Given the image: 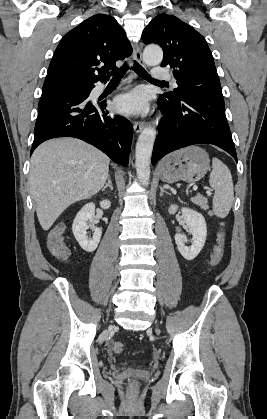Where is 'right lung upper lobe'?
<instances>
[{"mask_svg": "<svg viewBox=\"0 0 267 419\" xmlns=\"http://www.w3.org/2000/svg\"><path fill=\"white\" fill-rule=\"evenodd\" d=\"M125 31L110 15L96 14L69 31L57 46L43 87L85 86L109 79L116 61L130 56ZM100 64H104L98 68Z\"/></svg>", "mask_w": 267, "mask_h": 419, "instance_id": "1", "label": "right lung upper lobe"}]
</instances>
